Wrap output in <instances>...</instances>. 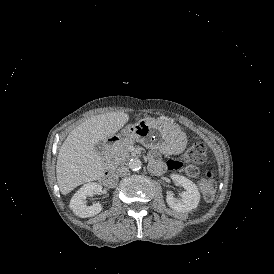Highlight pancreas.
<instances>
[{"instance_id": "cf45deb5", "label": "pancreas", "mask_w": 274, "mask_h": 274, "mask_svg": "<svg viewBox=\"0 0 274 274\" xmlns=\"http://www.w3.org/2000/svg\"><path fill=\"white\" fill-rule=\"evenodd\" d=\"M132 144L130 138H125L120 141H116L114 146L106 148L104 155L115 168L121 164H125L129 158L128 147Z\"/></svg>"}]
</instances>
